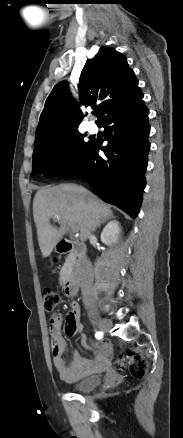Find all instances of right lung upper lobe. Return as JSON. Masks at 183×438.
Segmentation results:
<instances>
[{"mask_svg": "<svg viewBox=\"0 0 183 438\" xmlns=\"http://www.w3.org/2000/svg\"><path fill=\"white\" fill-rule=\"evenodd\" d=\"M137 85L126 57L114 48L101 47L93 59L86 61L81 72L80 104L98 107L100 123L107 114L142 93ZM78 107L69 94L67 82L55 85L41 113L36 139L78 129L84 117Z\"/></svg>", "mask_w": 183, "mask_h": 438, "instance_id": "right-lung-upper-lobe-1", "label": "right lung upper lobe"}]
</instances>
